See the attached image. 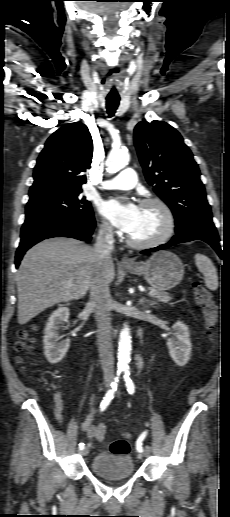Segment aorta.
<instances>
[{
    "label": "aorta",
    "instance_id": "762f6f07",
    "mask_svg": "<svg viewBox=\"0 0 230 517\" xmlns=\"http://www.w3.org/2000/svg\"><path fill=\"white\" fill-rule=\"evenodd\" d=\"M130 160V155L124 150H112L107 158L106 166L109 173H115L120 169L124 168ZM131 336L127 326H125L119 336V347H118V369H128L131 355Z\"/></svg>",
    "mask_w": 230,
    "mask_h": 517
}]
</instances>
